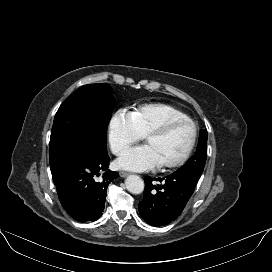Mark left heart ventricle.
<instances>
[{
    "mask_svg": "<svg viewBox=\"0 0 272 272\" xmlns=\"http://www.w3.org/2000/svg\"><path fill=\"white\" fill-rule=\"evenodd\" d=\"M192 137V128L188 124L174 127L167 134L150 137L146 143L157 153L161 163L179 159L187 150Z\"/></svg>",
    "mask_w": 272,
    "mask_h": 272,
    "instance_id": "1",
    "label": "left heart ventricle"
}]
</instances>
